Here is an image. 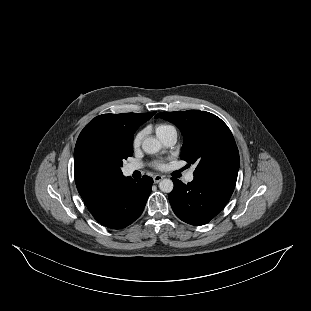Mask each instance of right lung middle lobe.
Instances as JSON below:
<instances>
[{
  "label": "right lung middle lobe",
  "instance_id": "right-lung-middle-lobe-1",
  "mask_svg": "<svg viewBox=\"0 0 311 311\" xmlns=\"http://www.w3.org/2000/svg\"><path fill=\"white\" fill-rule=\"evenodd\" d=\"M133 155V142L100 127L82 130L74 159L86 170L103 174H122V161Z\"/></svg>",
  "mask_w": 311,
  "mask_h": 311
}]
</instances>
